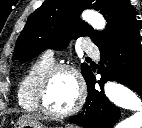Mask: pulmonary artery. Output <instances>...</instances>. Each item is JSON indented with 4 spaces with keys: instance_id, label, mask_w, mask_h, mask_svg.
<instances>
[{
    "instance_id": "1",
    "label": "pulmonary artery",
    "mask_w": 142,
    "mask_h": 128,
    "mask_svg": "<svg viewBox=\"0 0 142 128\" xmlns=\"http://www.w3.org/2000/svg\"><path fill=\"white\" fill-rule=\"evenodd\" d=\"M83 49L90 56H93V57L99 56L98 48L89 41L85 42ZM43 56L47 57L48 59L54 60V52L52 50L45 51Z\"/></svg>"
}]
</instances>
